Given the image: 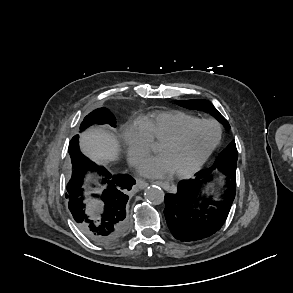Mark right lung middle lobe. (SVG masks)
<instances>
[{
    "label": "right lung middle lobe",
    "mask_w": 293,
    "mask_h": 293,
    "mask_svg": "<svg viewBox=\"0 0 293 293\" xmlns=\"http://www.w3.org/2000/svg\"><path fill=\"white\" fill-rule=\"evenodd\" d=\"M92 124H110L114 127L115 118L111 112L105 108L96 109L84 118L80 129L85 130Z\"/></svg>",
    "instance_id": "dd1d6c3e"
}]
</instances>
